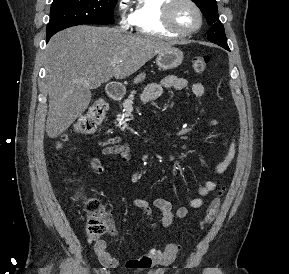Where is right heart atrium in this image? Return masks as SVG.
<instances>
[{"label":"right heart atrium","instance_id":"obj_1","mask_svg":"<svg viewBox=\"0 0 289 274\" xmlns=\"http://www.w3.org/2000/svg\"><path fill=\"white\" fill-rule=\"evenodd\" d=\"M125 1L126 0H120L118 2V11H119V14H120V26L122 28H128L130 26V24H131L130 16H128L125 13V8H126Z\"/></svg>","mask_w":289,"mask_h":274}]
</instances>
